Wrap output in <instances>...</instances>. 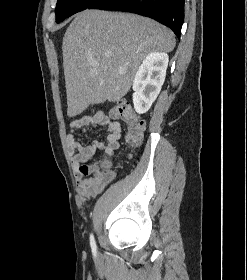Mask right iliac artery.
Segmentation results:
<instances>
[{
	"label": "right iliac artery",
	"mask_w": 247,
	"mask_h": 280,
	"mask_svg": "<svg viewBox=\"0 0 247 280\" xmlns=\"http://www.w3.org/2000/svg\"><path fill=\"white\" fill-rule=\"evenodd\" d=\"M90 245H91L92 252L96 254V243L93 234L90 235Z\"/></svg>",
	"instance_id": "obj_1"
}]
</instances>
